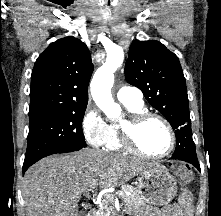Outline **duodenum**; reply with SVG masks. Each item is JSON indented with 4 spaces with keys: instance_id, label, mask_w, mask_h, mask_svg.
Segmentation results:
<instances>
[{
    "instance_id": "410a0bca",
    "label": "duodenum",
    "mask_w": 221,
    "mask_h": 216,
    "mask_svg": "<svg viewBox=\"0 0 221 216\" xmlns=\"http://www.w3.org/2000/svg\"><path fill=\"white\" fill-rule=\"evenodd\" d=\"M87 216H93V214H92V213H90V214H88Z\"/></svg>"
}]
</instances>
